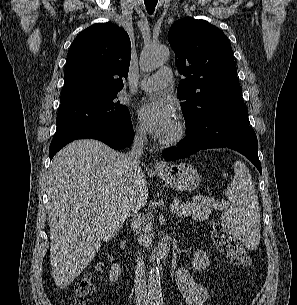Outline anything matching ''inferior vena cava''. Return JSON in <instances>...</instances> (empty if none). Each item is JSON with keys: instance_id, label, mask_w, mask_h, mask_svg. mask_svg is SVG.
Segmentation results:
<instances>
[{"instance_id": "1", "label": "inferior vena cava", "mask_w": 297, "mask_h": 305, "mask_svg": "<svg viewBox=\"0 0 297 305\" xmlns=\"http://www.w3.org/2000/svg\"><path fill=\"white\" fill-rule=\"evenodd\" d=\"M146 142V134L143 131L134 137L131 150L124 156V165L129 173L130 179L133 182L140 176L142 170L140 168V160L144 152ZM144 206L142 199L136 195L134 188L130 191L129 203L127 206L128 216L131 218V227L139 234L144 218L141 216L140 210ZM137 258L135 267L134 290L135 300L138 304L146 303L149 297L147 290V281L145 273V264L140 253Z\"/></svg>"}]
</instances>
